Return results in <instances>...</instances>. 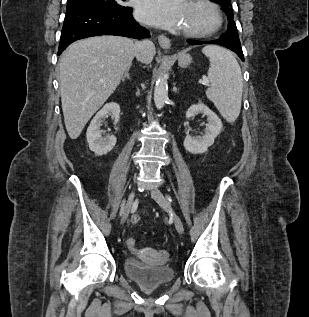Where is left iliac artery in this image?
<instances>
[{"label":"left iliac artery","mask_w":309,"mask_h":317,"mask_svg":"<svg viewBox=\"0 0 309 317\" xmlns=\"http://www.w3.org/2000/svg\"><path fill=\"white\" fill-rule=\"evenodd\" d=\"M167 199H168V201H169V202H171V201H172V199H171V197H170V196H167Z\"/></svg>","instance_id":"44dca946"}]
</instances>
